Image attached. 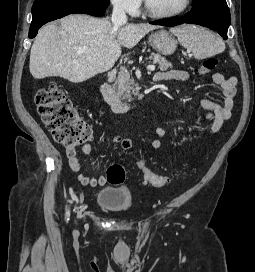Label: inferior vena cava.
Listing matches in <instances>:
<instances>
[{"label":"inferior vena cava","instance_id":"obj_1","mask_svg":"<svg viewBox=\"0 0 255 272\" xmlns=\"http://www.w3.org/2000/svg\"><path fill=\"white\" fill-rule=\"evenodd\" d=\"M111 21L114 28H119L120 26L127 23V16L121 5H114Z\"/></svg>","mask_w":255,"mask_h":272}]
</instances>
